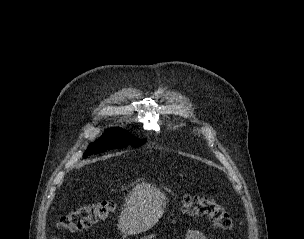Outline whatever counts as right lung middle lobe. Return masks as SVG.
Segmentation results:
<instances>
[{"label":"right lung middle lobe","mask_w":304,"mask_h":239,"mask_svg":"<svg viewBox=\"0 0 304 239\" xmlns=\"http://www.w3.org/2000/svg\"><path fill=\"white\" fill-rule=\"evenodd\" d=\"M146 140L137 139L129 132L121 128H112L105 132V134L95 143L91 144L89 149L84 154V158L92 154H98L106 150L123 148L131 145L136 148L143 145Z\"/></svg>","instance_id":"obj_1"}]
</instances>
